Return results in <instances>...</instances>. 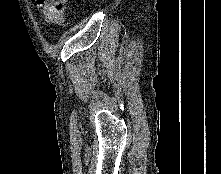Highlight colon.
<instances>
[{"label": "colon", "mask_w": 221, "mask_h": 174, "mask_svg": "<svg viewBox=\"0 0 221 174\" xmlns=\"http://www.w3.org/2000/svg\"><path fill=\"white\" fill-rule=\"evenodd\" d=\"M67 0H35L37 7L43 11L45 20L54 24L63 22V7Z\"/></svg>", "instance_id": "obj_1"}]
</instances>
